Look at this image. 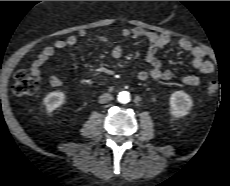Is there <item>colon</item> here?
I'll return each mask as SVG.
<instances>
[{
    "instance_id": "5ec220e1",
    "label": "colon",
    "mask_w": 230,
    "mask_h": 186,
    "mask_svg": "<svg viewBox=\"0 0 230 186\" xmlns=\"http://www.w3.org/2000/svg\"><path fill=\"white\" fill-rule=\"evenodd\" d=\"M39 76L34 75L30 71L21 70L14 76V82L12 86L13 94L17 97H25L32 95L39 86ZM218 91V83L215 80H211L206 85V92L209 95H214Z\"/></svg>"
}]
</instances>
